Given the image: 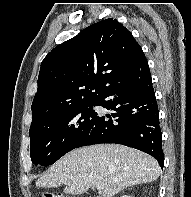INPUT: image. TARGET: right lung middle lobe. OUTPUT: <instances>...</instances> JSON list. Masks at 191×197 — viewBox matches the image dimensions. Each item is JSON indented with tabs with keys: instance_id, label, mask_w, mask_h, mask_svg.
<instances>
[{
	"instance_id": "right-lung-middle-lobe-1",
	"label": "right lung middle lobe",
	"mask_w": 191,
	"mask_h": 197,
	"mask_svg": "<svg viewBox=\"0 0 191 197\" xmlns=\"http://www.w3.org/2000/svg\"><path fill=\"white\" fill-rule=\"evenodd\" d=\"M97 101L73 106L30 129V156L33 164L49 166L76 148L96 120Z\"/></svg>"
}]
</instances>
